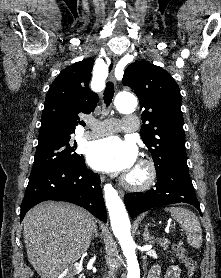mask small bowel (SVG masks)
<instances>
[{
  "label": "small bowel",
  "mask_w": 221,
  "mask_h": 278,
  "mask_svg": "<svg viewBox=\"0 0 221 278\" xmlns=\"http://www.w3.org/2000/svg\"><path fill=\"white\" fill-rule=\"evenodd\" d=\"M159 272V267L155 266L152 270V276L150 278H158L157 274ZM165 278H180V269L177 265H172L168 268Z\"/></svg>",
  "instance_id": "obj_1"
}]
</instances>
